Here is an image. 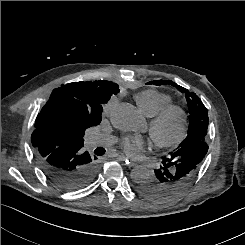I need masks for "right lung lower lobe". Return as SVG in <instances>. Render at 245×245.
Listing matches in <instances>:
<instances>
[{
  "label": "right lung lower lobe",
  "mask_w": 245,
  "mask_h": 245,
  "mask_svg": "<svg viewBox=\"0 0 245 245\" xmlns=\"http://www.w3.org/2000/svg\"><path fill=\"white\" fill-rule=\"evenodd\" d=\"M83 144L70 143L37 152V161L46 177L58 188L76 191L89 185L99 171L96 156L83 151Z\"/></svg>",
  "instance_id": "obj_1"
}]
</instances>
